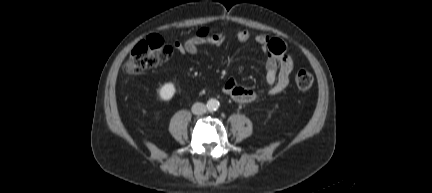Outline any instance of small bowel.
Listing matches in <instances>:
<instances>
[{
	"label": "small bowel",
	"instance_id": "1",
	"mask_svg": "<svg viewBox=\"0 0 432 193\" xmlns=\"http://www.w3.org/2000/svg\"><path fill=\"white\" fill-rule=\"evenodd\" d=\"M239 42L253 39L267 54L265 66V82L269 86L268 93L277 95L289 84L290 74L294 66V58L287 53L286 44L277 38L265 34H252L248 30L237 32ZM224 40L222 33H212L208 28L200 29L195 36L185 42H175L174 49L180 54H196L203 45L219 46ZM223 92L233 100L248 103L259 98V93L240 86L234 79H229L223 86Z\"/></svg>",
	"mask_w": 432,
	"mask_h": 193
}]
</instances>
